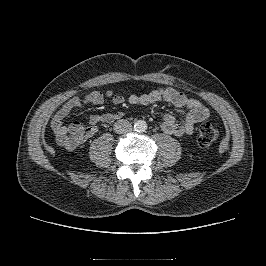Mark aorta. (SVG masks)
<instances>
[{
    "mask_svg": "<svg viewBox=\"0 0 266 266\" xmlns=\"http://www.w3.org/2000/svg\"><path fill=\"white\" fill-rule=\"evenodd\" d=\"M134 128L136 131H140V132H143L147 129V124L145 121H142V120H138L135 125H134Z\"/></svg>",
    "mask_w": 266,
    "mask_h": 266,
    "instance_id": "762f6f07",
    "label": "aorta"
}]
</instances>
